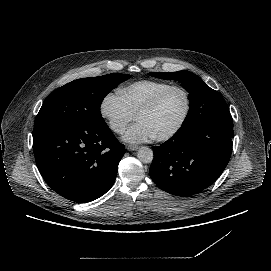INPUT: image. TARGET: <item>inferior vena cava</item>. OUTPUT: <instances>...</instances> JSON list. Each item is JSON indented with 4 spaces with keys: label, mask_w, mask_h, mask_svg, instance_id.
I'll use <instances>...</instances> for the list:
<instances>
[{
    "label": "inferior vena cava",
    "mask_w": 271,
    "mask_h": 271,
    "mask_svg": "<svg viewBox=\"0 0 271 271\" xmlns=\"http://www.w3.org/2000/svg\"><path fill=\"white\" fill-rule=\"evenodd\" d=\"M114 126V131L119 133V134H124L125 130H126V127H125V124L122 123V122H119V123H114L113 124Z\"/></svg>",
    "instance_id": "1"
}]
</instances>
